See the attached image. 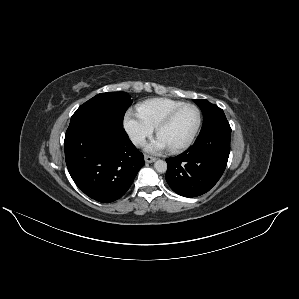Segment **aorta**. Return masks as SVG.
<instances>
[{"label":"aorta","mask_w":299,"mask_h":299,"mask_svg":"<svg viewBox=\"0 0 299 299\" xmlns=\"http://www.w3.org/2000/svg\"><path fill=\"white\" fill-rule=\"evenodd\" d=\"M154 168L159 173H164L167 170V163L164 160H157L154 163Z\"/></svg>","instance_id":"aorta-1"}]
</instances>
